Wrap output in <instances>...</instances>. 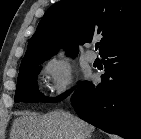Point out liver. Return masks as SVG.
<instances>
[{
	"mask_svg": "<svg viewBox=\"0 0 141 139\" xmlns=\"http://www.w3.org/2000/svg\"><path fill=\"white\" fill-rule=\"evenodd\" d=\"M12 125L10 139H90L94 126L64 111L45 115L21 112Z\"/></svg>",
	"mask_w": 141,
	"mask_h": 139,
	"instance_id": "obj_1",
	"label": "liver"
}]
</instances>
